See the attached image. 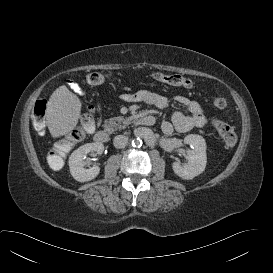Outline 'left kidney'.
I'll list each match as a JSON object with an SVG mask.
<instances>
[{"mask_svg":"<svg viewBox=\"0 0 273 273\" xmlns=\"http://www.w3.org/2000/svg\"><path fill=\"white\" fill-rule=\"evenodd\" d=\"M184 143L192 147L187 150L188 163L174 162L172 168L174 173L182 179L191 180L205 170L207 163L206 142L200 135L189 134L184 138Z\"/></svg>","mask_w":273,"mask_h":273,"instance_id":"left-kidney-1","label":"left kidney"}]
</instances>
